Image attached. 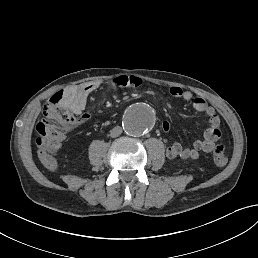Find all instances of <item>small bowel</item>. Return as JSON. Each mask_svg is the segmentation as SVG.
<instances>
[{"mask_svg": "<svg viewBox=\"0 0 258 258\" xmlns=\"http://www.w3.org/2000/svg\"><path fill=\"white\" fill-rule=\"evenodd\" d=\"M112 85L117 88L139 87L142 85V79L137 76H119L112 81ZM102 86L100 81H92L84 83L80 86L68 87L59 93L58 104L65 109L79 115L86 106L88 96L98 90ZM170 94L178 99L192 103L193 108L200 113H204L209 120V127L204 131L203 138L197 139L191 146H183L181 143L175 142L166 148V156L170 159H197L202 152L209 153L212 151L214 144L221 137L220 118L216 114L213 107L201 97H194L190 91L180 87L173 86L169 89ZM55 95L51 98L53 100ZM86 119L88 115L85 114ZM162 128L167 131L170 128L168 121L162 123ZM40 162L48 170H54L57 162L53 158L45 162L39 155Z\"/></svg>", "mask_w": 258, "mask_h": 258, "instance_id": "obj_1", "label": "small bowel"}]
</instances>
